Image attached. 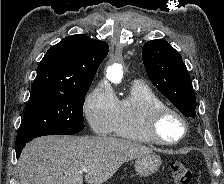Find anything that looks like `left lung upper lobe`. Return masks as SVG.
<instances>
[{
    "mask_svg": "<svg viewBox=\"0 0 224 184\" xmlns=\"http://www.w3.org/2000/svg\"><path fill=\"white\" fill-rule=\"evenodd\" d=\"M142 58L157 89L186 117L195 118L196 98L181 55L167 41L146 42Z\"/></svg>",
    "mask_w": 224,
    "mask_h": 184,
    "instance_id": "5c2ea615",
    "label": "left lung upper lobe"
}]
</instances>
